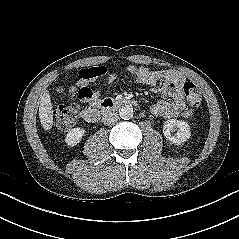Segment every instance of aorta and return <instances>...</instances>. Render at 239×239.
Here are the masks:
<instances>
[{
    "mask_svg": "<svg viewBox=\"0 0 239 239\" xmlns=\"http://www.w3.org/2000/svg\"><path fill=\"white\" fill-rule=\"evenodd\" d=\"M134 111L132 106L130 105H124L119 110V115L122 119L128 120L133 117Z\"/></svg>",
    "mask_w": 239,
    "mask_h": 239,
    "instance_id": "aorta-1",
    "label": "aorta"
}]
</instances>
